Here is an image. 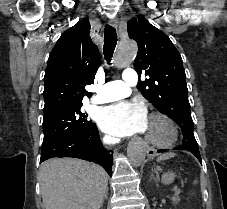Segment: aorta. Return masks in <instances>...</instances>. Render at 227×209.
I'll list each match as a JSON object with an SVG mask.
<instances>
[{"label":"aorta","instance_id":"aorta-1","mask_svg":"<svg viewBox=\"0 0 227 209\" xmlns=\"http://www.w3.org/2000/svg\"><path fill=\"white\" fill-rule=\"evenodd\" d=\"M137 50V44L133 40L121 42L114 57V65L118 68L127 67L136 56ZM127 155L133 166H140L144 162L146 156L144 145L142 143L131 144L128 147Z\"/></svg>","mask_w":227,"mask_h":209}]
</instances>
